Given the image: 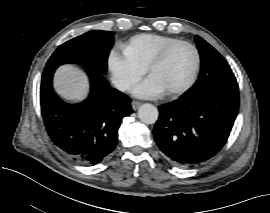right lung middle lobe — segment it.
<instances>
[{"label": "right lung middle lobe", "instance_id": "1", "mask_svg": "<svg viewBox=\"0 0 270 213\" xmlns=\"http://www.w3.org/2000/svg\"><path fill=\"white\" fill-rule=\"evenodd\" d=\"M110 31H90L60 45L46 64V68L66 63L83 65L90 70L105 73L109 51L114 43Z\"/></svg>", "mask_w": 270, "mask_h": 213}]
</instances>
